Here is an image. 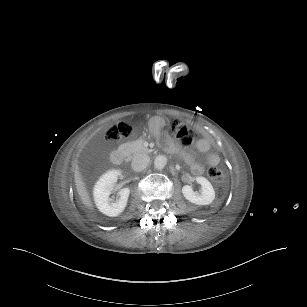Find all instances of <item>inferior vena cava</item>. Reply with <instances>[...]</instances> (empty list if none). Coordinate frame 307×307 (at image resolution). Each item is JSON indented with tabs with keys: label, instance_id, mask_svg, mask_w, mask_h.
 <instances>
[{
	"label": "inferior vena cava",
	"instance_id": "1",
	"mask_svg": "<svg viewBox=\"0 0 307 307\" xmlns=\"http://www.w3.org/2000/svg\"><path fill=\"white\" fill-rule=\"evenodd\" d=\"M147 164L148 161L144 156L136 155L131 162V168L134 172H141L146 168Z\"/></svg>",
	"mask_w": 307,
	"mask_h": 307
}]
</instances>
